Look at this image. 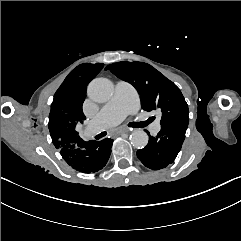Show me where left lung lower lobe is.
Returning <instances> with one entry per match:
<instances>
[{
    "label": "left lung lower lobe",
    "mask_w": 241,
    "mask_h": 241,
    "mask_svg": "<svg viewBox=\"0 0 241 241\" xmlns=\"http://www.w3.org/2000/svg\"><path fill=\"white\" fill-rule=\"evenodd\" d=\"M187 127L188 124L180 123L161 125V130L157 136L149 135L147 146L137 151L138 159L146 167L153 170L167 167L177 157L185 139Z\"/></svg>",
    "instance_id": "obj_1"
}]
</instances>
